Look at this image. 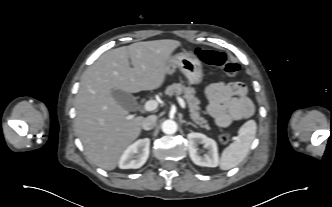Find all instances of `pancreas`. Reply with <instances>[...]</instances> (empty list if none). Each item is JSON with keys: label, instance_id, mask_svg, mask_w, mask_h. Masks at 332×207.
<instances>
[{"label": "pancreas", "instance_id": "obj_1", "mask_svg": "<svg viewBox=\"0 0 332 207\" xmlns=\"http://www.w3.org/2000/svg\"><path fill=\"white\" fill-rule=\"evenodd\" d=\"M195 90L191 87H186L182 85L181 83H174L170 86H168L165 90L166 95H173V94H182L185 98L189 111H190V118L199 126L202 128H205L207 130L210 129L208 125V121L200 116V101L199 99L194 95Z\"/></svg>", "mask_w": 332, "mask_h": 207}]
</instances>
